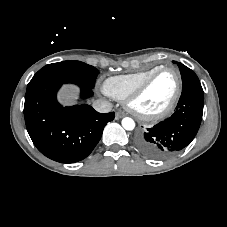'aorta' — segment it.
Segmentation results:
<instances>
[{"instance_id": "1", "label": "aorta", "mask_w": 227, "mask_h": 227, "mask_svg": "<svg viewBox=\"0 0 227 227\" xmlns=\"http://www.w3.org/2000/svg\"><path fill=\"white\" fill-rule=\"evenodd\" d=\"M122 126L125 130L131 131L135 128V122L132 118L125 117L122 119Z\"/></svg>"}]
</instances>
